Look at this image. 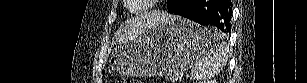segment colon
I'll use <instances>...</instances> for the list:
<instances>
[{
	"label": "colon",
	"mask_w": 307,
	"mask_h": 83,
	"mask_svg": "<svg viewBox=\"0 0 307 83\" xmlns=\"http://www.w3.org/2000/svg\"><path fill=\"white\" fill-rule=\"evenodd\" d=\"M118 83H136L137 81H135L134 79H130V78H120L119 80H117Z\"/></svg>",
	"instance_id": "colon-1"
}]
</instances>
